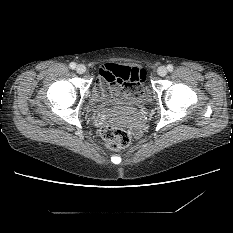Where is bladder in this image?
I'll return each mask as SVG.
<instances>
[{"mask_svg": "<svg viewBox=\"0 0 233 233\" xmlns=\"http://www.w3.org/2000/svg\"><path fill=\"white\" fill-rule=\"evenodd\" d=\"M140 71L142 73L141 79L142 81H144L143 70L140 69ZM104 95L111 99H129L121 91L110 88H105ZM148 96H149V92L147 90H140L136 92V94L133 96V98H131V100L136 104H143L147 100ZM88 111L90 113H93L95 112V108H89Z\"/></svg>", "mask_w": 233, "mask_h": 233, "instance_id": "bladder-1", "label": "bladder"}]
</instances>
